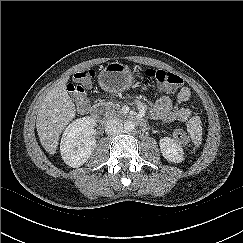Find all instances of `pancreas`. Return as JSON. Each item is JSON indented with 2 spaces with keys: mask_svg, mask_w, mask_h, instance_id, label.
I'll return each instance as SVG.
<instances>
[{
  "mask_svg": "<svg viewBox=\"0 0 243 243\" xmlns=\"http://www.w3.org/2000/svg\"><path fill=\"white\" fill-rule=\"evenodd\" d=\"M109 105L112 106L113 108H115V106L113 104H109ZM116 109L119 110L120 107L116 106ZM110 114L113 115L114 114V110H112Z\"/></svg>",
  "mask_w": 243,
  "mask_h": 243,
  "instance_id": "cf45deb5",
  "label": "pancreas"
}]
</instances>
